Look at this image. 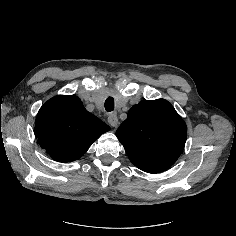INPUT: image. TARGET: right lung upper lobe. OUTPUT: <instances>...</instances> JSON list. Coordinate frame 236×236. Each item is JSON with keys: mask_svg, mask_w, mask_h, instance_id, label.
Listing matches in <instances>:
<instances>
[{"mask_svg": "<svg viewBox=\"0 0 236 236\" xmlns=\"http://www.w3.org/2000/svg\"><path fill=\"white\" fill-rule=\"evenodd\" d=\"M35 130L39 144L54 160L71 162L110 127L89 113L77 96L59 95L40 108Z\"/></svg>", "mask_w": 236, "mask_h": 236, "instance_id": "1", "label": "right lung upper lobe"}]
</instances>
